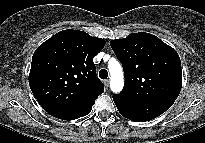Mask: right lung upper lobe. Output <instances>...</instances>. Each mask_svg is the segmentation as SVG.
Returning a JSON list of instances; mask_svg holds the SVG:
<instances>
[{"mask_svg": "<svg viewBox=\"0 0 205 143\" xmlns=\"http://www.w3.org/2000/svg\"><path fill=\"white\" fill-rule=\"evenodd\" d=\"M104 40L79 30H63L34 52L29 73L31 91L49 114L77 113L104 92L93 58Z\"/></svg>", "mask_w": 205, "mask_h": 143, "instance_id": "obj_1", "label": "right lung upper lobe"}]
</instances>
